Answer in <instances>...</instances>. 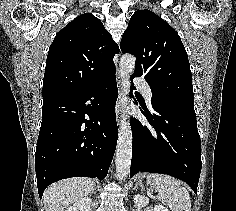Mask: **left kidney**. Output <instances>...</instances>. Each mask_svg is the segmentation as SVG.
Segmentation results:
<instances>
[{
	"label": "left kidney",
	"instance_id": "left-kidney-1",
	"mask_svg": "<svg viewBox=\"0 0 236 211\" xmlns=\"http://www.w3.org/2000/svg\"><path fill=\"white\" fill-rule=\"evenodd\" d=\"M134 203L138 207H144L149 203V199L145 197L144 195L136 194L134 196ZM154 211H168L166 207L163 205H155Z\"/></svg>",
	"mask_w": 236,
	"mask_h": 211
}]
</instances>
